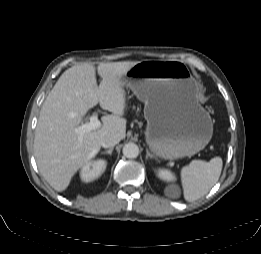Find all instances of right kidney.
Returning a JSON list of instances; mask_svg holds the SVG:
<instances>
[{"mask_svg": "<svg viewBox=\"0 0 261 254\" xmlns=\"http://www.w3.org/2000/svg\"><path fill=\"white\" fill-rule=\"evenodd\" d=\"M106 161L98 159L89 161L81 167L80 177L83 182H91L100 177L106 169Z\"/></svg>", "mask_w": 261, "mask_h": 254, "instance_id": "obj_1", "label": "right kidney"}]
</instances>
